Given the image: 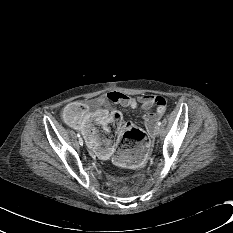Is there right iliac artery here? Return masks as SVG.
Wrapping results in <instances>:
<instances>
[{"instance_id":"obj_1","label":"right iliac artery","mask_w":233,"mask_h":233,"mask_svg":"<svg viewBox=\"0 0 233 233\" xmlns=\"http://www.w3.org/2000/svg\"><path fill=\"white\" fill-rule=\"evenodd\" d=\"M77 136L80 138V134L78 133Z\"/></svg>"}]
</instances>
